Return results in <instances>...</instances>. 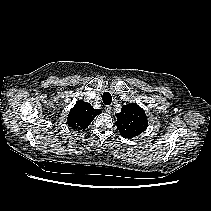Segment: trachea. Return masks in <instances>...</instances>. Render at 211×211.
Listing matches in <instances>:
<instances>
[{
	"label": "trachea",
	"instance_id": "3493384b",
	"mask_svg": "<svg viewBox=\"0 0 211 211\" xmlns=\"http://www.w3.org/2000/svg\"><path fill=\"white\" fill-rule=\"evenodd\" d=\"M103 103L109 105L112 102V96L109 92H105L102 96Z\"/></svg>",
	"mask_w": 211,
	"mask_h": 211
}]
</instances>
